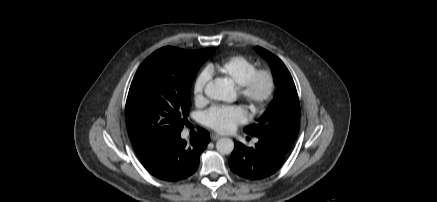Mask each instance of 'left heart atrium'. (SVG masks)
Instances as JSON below:
<instances>
[{"label": "left heart atrium", "mask_w": 437, "mask_h": 202, "mask_svg": "<svg viewBox=\"0 0 437 202\" xmlns=\"http://www.w3.org/2000/svg\"><path fill=\"white\" fill-rule=\"evenodd\" d=\"M246 120L247 113L241 106H215L204 114L205 125L220 133L231 132Z\"/></svg>", "instance_id": "39dd6f15"}]
</instances>
